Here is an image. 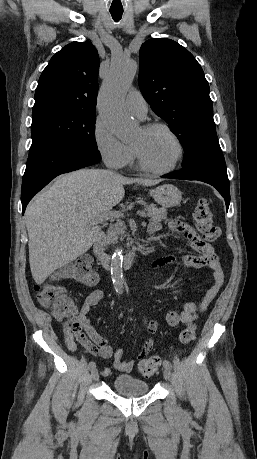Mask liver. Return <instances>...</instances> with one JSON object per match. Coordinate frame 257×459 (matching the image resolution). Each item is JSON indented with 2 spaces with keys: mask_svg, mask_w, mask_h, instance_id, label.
I'll use <instances>...</instances> for the list:
<instances>
[{
  "mask_svg": "<svg viewBox=\"0 0 257 459\" xmlns=\"http://www.w3.org/2000/svg\"><path fill=\"white\" fill-rule=\"evenodd\" d=\"M159 182L100 169L59 176L28 204L25 212L29 263L35 282L42 284L93 245L100 232V219L123 199V185L154 186Z\"/></svg>",
  "mask_w": 257,
  "mask_h": 459,
  "instance_id": "liver-1",
  "label": "liver"
}]
</instances>
